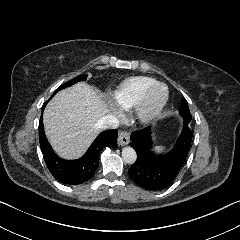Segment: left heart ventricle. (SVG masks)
<instances>
[{"instance_id":"b2bd125f","label":"left heart ventricle","mask_w":240,"mask_h":240,"mask_svg":"<svg viewBox=\"0 0 240 240\" xmlns=\"http://www.w3.org/2000/svg\"><path fill=\"white\" fill-rule=\"evenodd\" d=\"M161 94H162V90H161V89H158V90H157V93H156V95H155V98L160 97Z\"/></svg>"}]
</instances>
